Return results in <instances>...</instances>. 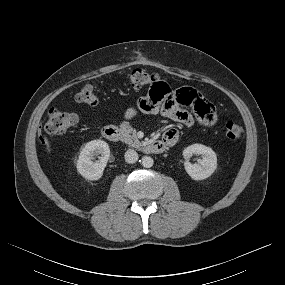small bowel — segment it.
Segmentation results:
<instances>
[{"label": "small bowel", "mask_w": 285, "mask_h": 285, "mask_svg": "<svg viewBox=\"0 0 285 285\" xmlns=\"http://www.w3.org/2000/svg\"><path fill=\"white\" fill-rule=\"evenodd\" d=\"M147 96L141 97L136 106L128 108L124 120L130 121L138 114H154L159 111L167 118L186 126L195 122L204 126H212L217 121L215 106L200 92L192 87H183L176 91L163 78H154L148 84ZM179 138L175 128L167 129L162 140L169 146Z\"/></svg>", "instance_id": "obj_1"}]
</instances>
